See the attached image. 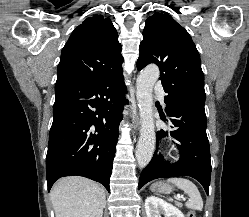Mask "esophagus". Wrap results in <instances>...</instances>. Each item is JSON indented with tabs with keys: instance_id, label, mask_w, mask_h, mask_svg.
Instances as JSON below:
<instances>
[{
	"instance_id": "obj_1",
	"label": "esophagus",
	"mask_w": 249,
	"mask_h": 217,
	"mask_svg": "<svg viewBox=\"0 0 249 217\" xmlns=\"http://www.w3.org/2000/svg\"><path fill=\"white\" fill-rule=\"evenodd\" d=\"M136 124H137V126L139 125L138 117H137V119H136Z\"/></svg>"
}]
</instances>
